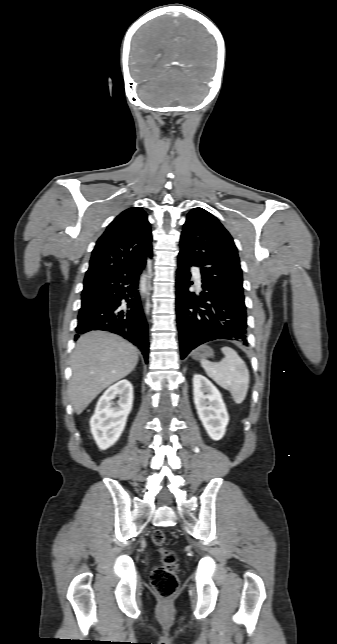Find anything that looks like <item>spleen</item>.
Segmentation results:
<instances>
[{
  "label": "spleen",
  "mask_w": 337,
  "mask_h": 644,
  "mask_svg": "<svg viewBox=\"0 0 337 644\" xmlns=\"http://www.w3.org/2000/svg\"><path fill=\"white\" fill-rule=\"evenodd\" d=\"M221 351L224 358L220 362L202 359L201 366L211 379L230 392L236 404H241L249 387V370L235 350L223 347Z\"/></svg>",
  "instance_id": "3e777b00"
}]
</instances>
